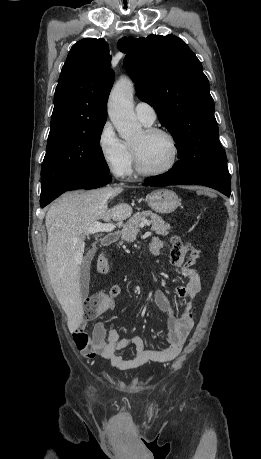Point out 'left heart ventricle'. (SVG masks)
Listing matches in <instances>:
<instances>
[{
  "mask_svg": "<svg viewBox=\"0 0 261 459\" xmlns=\"http://www.w3.org/2000/svg\"><path fill=\"white\" fill-rule=\"evenodd\" d=\"M132 145L137 149L141 163L147 169L164 168L171 160L172 146L164 135H146L142 131L133 140Z\"/></svg>",
  "mask_w": 261,
  "mask_h": 459,
  "instance_id": "b2bd125f",
  "label": "left heart ventricle"
}]
</instances>
